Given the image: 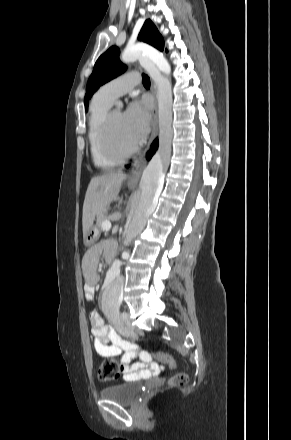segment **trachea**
Masks as SVG:
<instances>
[{
  "label": "trachea",
  "instance_id": "trachea-1",
  "mask_svg": "<svg viewBox=\"0 0 291 440\" xmlns=\"http://www.w3.org/2000/svg\"><path fill=\"white\" fill-rule=\"evenodd\" d=\"M142 83L145 87H150V79L146 74H142Z\"/></svg>",
  "mask_w": 291,
  "mask_h": 440
}]
</instances>
